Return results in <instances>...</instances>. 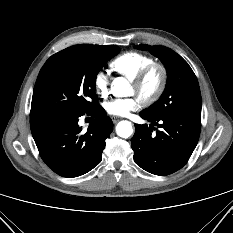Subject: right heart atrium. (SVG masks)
<instances>
[{
  "label": "right heart atrium",
  "instance_id": "d8ad5b80",
  "mask_svg": "<svg viewBox=\"0 0 233 233\" xmlns=\"http://www.w3.org/2000/svg\"><path fill=\"white\" fill-rule=\"evenodd\" d=\"M94 88L96 93L102 97L106 98L109 94V76L107 72L100 70L94 76Z\"/></svg>",
  "mask_w": 233,
  "mask_h": 233
}]
</instances>
